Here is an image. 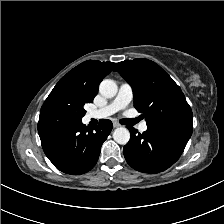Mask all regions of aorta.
I'll return each instance as SVG.
<instances>
[{
  "instance_id": "1",
  "label": "aorta",
  "mask_w": 224,
  "mask_h": 224,
  "mask_svg": "<svg viewBox=\"0 0 224 224\" xmlns=\"http://www.w3.org/2000/svg\"><path fill=\"white\" fill-rule=\"evenodd\" d=\"M118 86L111 79L103 80L99 85V92L106 98H112L117 94ZM113 139L120 145H125L130 140V132L125 127L116 128L113 132Z\"/></svg>"
}]
</instances>
